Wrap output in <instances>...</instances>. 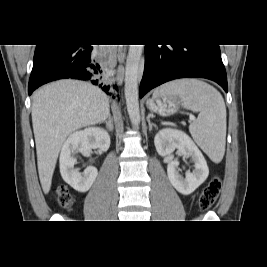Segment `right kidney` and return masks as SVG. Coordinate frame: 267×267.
Listing matches in <instances>:
<instances>
[{
	"label": "right kidney",
	"instance_id": "right-kidney-1",
	"mask_svg": "<svg viewBox=\"0 0 267 267\" xmlns=\"http://www.w3.org/2000/svg\"><path fill=\"white\" fill-rule=\"evenodd\" d=\"M110 146L108 133L98 127H89L71 134L65 141L60 153V173L65 182L78 192H86L94 183L98 171L95 167H87L83 173L74 168L77 164L75 153H88L98 148L107 151Z\"/></svg>",
	"mask_w": 267,
	"mask_h": 267
}]
</instances>
